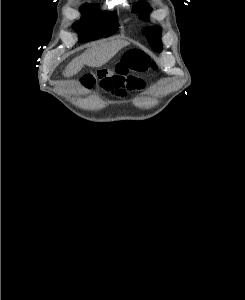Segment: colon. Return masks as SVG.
<instances>
[{"label":"colon","mask_w":245,"mask_h":300,"mask_svg":"<svg viewBox=\"0 0 245 300\" xmlns=\"http://www.w3.org/2000/svg\"><path fill=\"white\" fill-rule=\"evenodd\" d=\"M149 68L156 69V64L151 60V58L143 51L133 50L128 52L119 63L114 72L117 75L123 77H131L133 72H145ZM108 72H99L97 75L87 74L81 78V84L90 88L95 83L97 78L99 79L103 74Z\"/></svg>","instance_id":"colon-1"}]
</instances>
